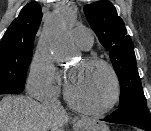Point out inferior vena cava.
<instances>
[{
	"label": "inferior vena cava",
	"mask_w": 151,
	"mask_h": 131,
	"mask_svg": "<svg viewBox=\"0 0 151 131\" xmlns=\"http://www.w3.org/2000/svg\"><path fill=\"white\" fill-rule=\"evenodd\" d=\"M43 108L47 110L58 111L61 109L60 102L55 93L46 91L44 97L41 99Z\"/></svg>",
	"instance_id": "1"
}]
</instances>
